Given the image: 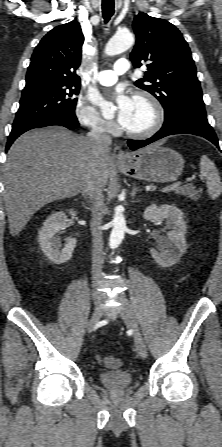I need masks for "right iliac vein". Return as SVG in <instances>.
I'll list each match as a JSON object with an SVG mask.
<instances>
[{"instance_id":"1","label":"right iliac vein","mask_w":222,"mask_h":447,"mask_svg":"<svg viewBox=\"0 0 222 447\" xmlns=\"http://www.w3.org/2000/svg\"><path fill=\"white\" fill-rule=\"evenodd\" d=\"M101 315H102V309L101 308H96L94 315L92 316V318L90 319V321L87 324V331L89 333L93 330L95 325L98 323Z\"/></svg>"}]
</instances>
